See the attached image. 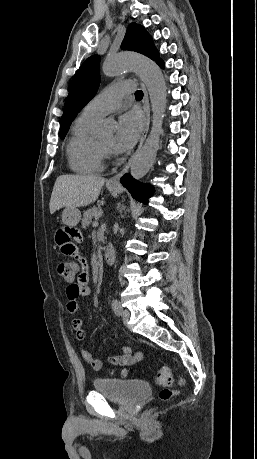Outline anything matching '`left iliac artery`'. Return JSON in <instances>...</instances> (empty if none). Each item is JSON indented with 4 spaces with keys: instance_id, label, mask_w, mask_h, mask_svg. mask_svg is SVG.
I'll use <instances>...</instances> for the list:
<instances>
[{
    "instance_id": "1",
    "label": "left iliac artery",
    "mask_w": 257,
    "mask_h": 459,
    "mask_svg": "<svg viewBox=\"0 0 257 459\" xmlns=\"http://www.w3.org/2000/svg\"><path fill=\"white\" fill-rule=\"evenodd\" d=\"M112 309L117 316L121 315L122 308H121L120 303L116 299H113L112 301Z\"/></svg>"
}]
</instances>
